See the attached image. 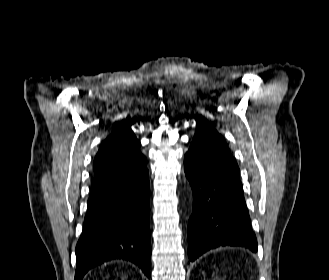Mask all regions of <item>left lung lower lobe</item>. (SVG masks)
Listing matches in <instances>:
<instances>
[{
  "label": "left lung lower lobe",
  "mask_w": 329,
  "mask_h": 280,
  "mask_svg": "<svg viewBox=\"0 0 329 280\" xmlns=\"http://www.w3.org/2000/svg\"><path fill=\"white\" fill-rule=\"evenodd\" d=\"M219 162V170L213 176L200 173L184 162L193 190V213L188 227L191 261L223 246L257 252L237 163L226 156L220 157Z\"/></svg>",
  "instance_id": "0a47b994"
}]
</instances>
